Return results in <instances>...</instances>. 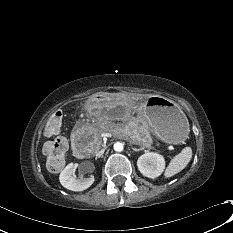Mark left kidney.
Returning a JSON list of instances; mask_svg holds the SVG:
<instances>
[{
  "label": "left kidney",
  "mask_w": 233,
  "mask_h": 233,
  "mask_svg": "<svg viewBox=\"0 0 233 233\" xmlns=\"http://www.w3.org/2000/svg\"><path fill=\"white\" fill-rule=\"evenodd\" d=\"M137 166L144 176L156 178L164 171L165 160L162 155L147 151L138 158Z\"/></svg>",
  "instance_id": "1"
}]
</instances>
